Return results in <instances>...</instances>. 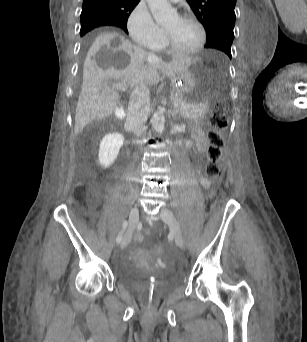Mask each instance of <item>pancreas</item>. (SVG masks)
Returning <instances> with one entry per match:
<instances>
[{
  "label": "pancreas",
  "mask_w": 307,
  "mask_h": 342,
  "mask_svg": "<svg viewBox=\"0 0 307 342\" xmlns=\"http://www.w3.org/2000/svg\"><path fill=\"white\" fill-rule=\"evenodd\" d=\"M172 101L175 104H186L187 99L183 94H172ZM208 105L206 103H198L196 106H182L181 116L186 117H204Z\"/></svg>",
  "instance_id": "1"
}]
</instances>
